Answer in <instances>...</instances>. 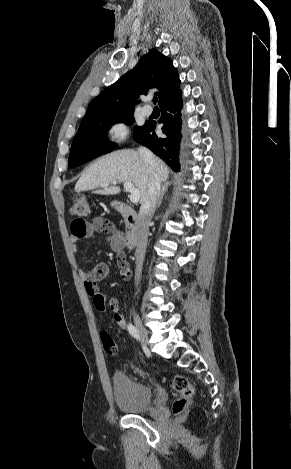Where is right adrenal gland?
Here are the masks:
<instances>
[{"mask_svg":"<svg viewBox=\"0 0 291 469\" xmlns=\"http://www.w3.org/2000/svg\"><path fill=\"white\" fill-rule=\"evenodd\" d=\"M169 185H170L169 183H166V184H164V185L162 186V190H161L159 199H158V201H157V207H158V208L160 207V205H161V203H162L163 196H164L165 192L167 191Z\"/></svg>","mask_w":291,"mask_h":469,"instance_id":"2a0ac1e0","label":"right adrenal gland"}]
</instances>
